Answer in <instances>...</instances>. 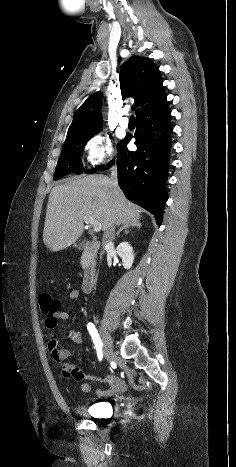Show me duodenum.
Masks as SVG:
<instances>
[{
    "label": "duodenum",
    "instance_id": "obj_1",
    "mask_svg": "<svg viewBox=\"0 0 236 467\" xmlns=\"http://www.w3.org/2000/svg\"><path fill=\"white\" fill-rule=\"evenodd\" d=\"M75 246L82 248L87 254V262L81 281V289L84 293H90L95 281L96 268L94 257L99 249V242L93 240H78L75 242Z\"/></svg>",
    "mask_w": 236,
    "mask_h": 467
}]
</instances>
